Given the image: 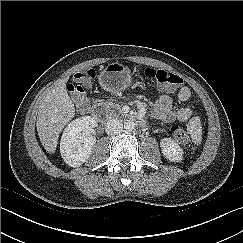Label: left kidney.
Returning a JSON list of instances; mask_svg holds the SVG:
<instances>
[{
	"instance_id": "1",
	"label": "left kidney",
	"mask_w": 243,
	"mask_h": 243,
	"mask_svg": "<svg viewBox=\"0 0 243 243\" xmlns=\"http://www.w3.org/2000/svg\"><path fill=\"white\" fill-rule=\"evenodd\" d=\"M160 147L164 157L169 161L180 162L183 160L182 148L171 138H163Z\"/></svg>"
}]
</instances>
